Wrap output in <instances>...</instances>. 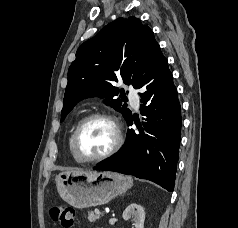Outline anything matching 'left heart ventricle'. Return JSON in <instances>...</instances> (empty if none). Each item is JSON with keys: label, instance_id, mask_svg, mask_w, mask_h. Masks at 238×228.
Wrapping results in <instances>:
<instances>
[{"label": "left heart ventricle", "instance_id": "obj_1", "mask_svg": "<svg viewBox=\"0 0 238 228\" xmlns=\"http://www.w3.org/2000/svg\"><path fill=\"white\" fill-rule=\"evenodd\" d=\"M115 141L113 126L106 120L94 119L82 129L78 139V153L93 158L105 153Z\"/></svg>", "mask_w": 238, "mask_h": 228}]
</instances>
